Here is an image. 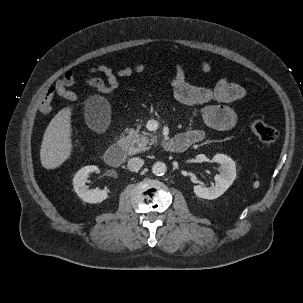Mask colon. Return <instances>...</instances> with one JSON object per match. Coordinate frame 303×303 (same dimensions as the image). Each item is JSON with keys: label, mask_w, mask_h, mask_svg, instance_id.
Returning <instances> with one entry per match:
<instances>
[{"label": "colon", "mask_w": 303, "mask_h": 303, "mask_svg": "<svg viewBox=\"0 0 303 303\" xmlns=\"http://www.w3.org/2000/svg\"><path fill=\"white\" fill-rule=\"evenodd\" d=\"M104 91V94L112 92L109 85L105 87ZM248 128L261 142L266 145H274L279 140V132L261 120H249Z\"/></svg>", "instance_id": "colon-1"}]
</instances>
